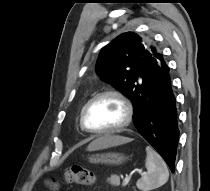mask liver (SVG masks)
Listing matches in <instances>:
<instances>
[{
  "label": "liver",
  "mask_w": 210,
  "mask_h": 191,
  "mask_svg": "<svg viewBox=\"0 0 210 191\" xmlns=\"http://www.w3.org/2000/svg\"><path fill=\"white\" fill-rule=\"evenodd\" d=\"M131 140L132 139L123 136L106 134L91 142L87 148V151H95L108 147L118 146L128 143Z\"/></svg>",
  "instance_id": "obj_1"
}]
</instances>
